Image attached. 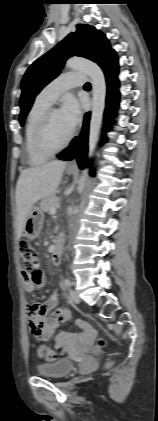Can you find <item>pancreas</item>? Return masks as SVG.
Segmentation results:
<instances>
[{"mask_svg":"<svg viewBox=\"0 0 158 421\" xmlns=\"http://www.w3.org/2000/svg\"><path fill=\"white\" fill-rule=\"evenodd\" d=\"M59 202V198L56 195L52 194L42 199V201L40 202V208L44 212L50 213V210L52 208H56Z\"/></svg>","mask_w":158,"mask_h":421,"instance_id":"1","label":"pancreas"}]
</instances>
